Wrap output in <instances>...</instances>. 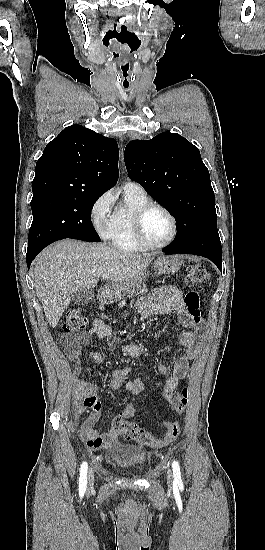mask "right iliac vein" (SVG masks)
Segmentation results:
<instances>
[{
	"label": "right iliac vein",
	"mask_w": 265,
	"mask_h": 550,
	"mask_svg": "<svg viewBox=\"0 0 265 550\" xmlns=\"http://www.w3.org/2000/svg\"><path fill=\"white\" fill-rule=\"evenodd\" d=\"M93 482H94V474H93V471H89L88 473V485L89 487H92L93 486Z\"/></svg>",
	"instance_id": "1"
}]
</instances>
